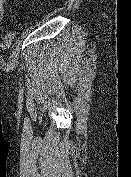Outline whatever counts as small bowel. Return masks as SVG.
<instances>
[{"label":"small bowel","instance_id":"obj_1","mask_svg":"<svg viewBox=\"0 0 131 177\" xmlns=\"http://www.w3.org/2000/svg\"><path fill=\"white\" fill-rule=\"evenodd\" d=\"M5 3H6V0H0V21H1V20L3 19V17H4Z\"/></svg>","mask_w":131,"mask_h":177}]
</instances>
